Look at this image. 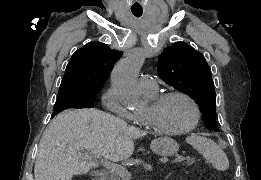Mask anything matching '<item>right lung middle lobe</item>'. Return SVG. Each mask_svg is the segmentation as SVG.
I'll return each instance as SVG.
<instances>
[{
    "label": "right lung middle lobe",
    "instance_id": "right-lung-middle-lobe-1",
    "mask_svg": "<svg viewBox=\"0 0 261 180\" xmlns=\"http://www.w3.org/2000/svg\"><path fill=\"white\" fill-rule=\"evenodd\" d=\"M101 88L72 86L60 88L53 115L67 108H91Z\"/></svg>",
    "mask_w": 261,
    "mask_h": 180
}]
</instances>
